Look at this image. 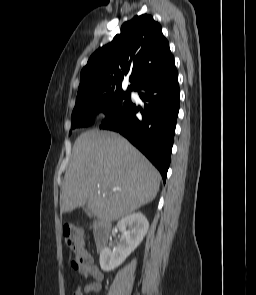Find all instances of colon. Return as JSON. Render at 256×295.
<instances>
[{"instance_id": "colon-1", "label": "colon", "mask_w": 256, "mask_h": 295, "mask_svg": "<svg viewBox=\"0 0 256 295\" xmlns=\"http://www.w3.org/2000/svg\"><path fill=\"white\" fill-rule=\"evenodd\" d=\"M63 239L66 247L72 253L71 266L78 269L92 262L89 252L83 247L81 231L73 224L63 227Z\"/></svg>"}]
</instances>
